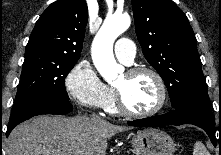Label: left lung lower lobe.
I'll return each mask as SVG.
<instances>
[{
    "label": "left lung lower lobe",
    "mask_w": 221,
    "mask_h": 155,
    "mask_svg": "<svg viewBox=\"0 0 221 155\" xmlns=\"http://www.w3.org/2000/svg\"><path fill=\"white\" fill-rule=\"evenodd\" d=\"M127 123L136 127L192 124L205 130L216 145L215 117L211 112L208 92L191 95L172 112Z\"/></svg>",
    "instance_id": "left-lung-lower-lobe-1"
}]
</instances>
